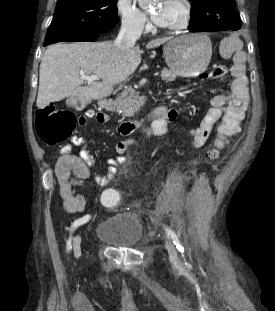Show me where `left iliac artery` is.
I'll use <instances>...</instances> for the list:
<instances>
[{
	"label": "left iliac artery",
	"mask_w": 275,
	"mask_h": 311,
	"mask_svg": "<svg viewBox=\"0 0 275 311\" xmlns=\"http://www.w3.org/2000/svg\"><path fill=\"white\" fill-rule=\"evenodd\" d=\"M168 236L172 239L174 245H176V248L181 252L184 253V247L182 246V244L180 243L177 235L170 229V228H166L165 229Z\"/></svg>",
	"instance_id": "left-iliac-artery-1"
}]
</instances>
